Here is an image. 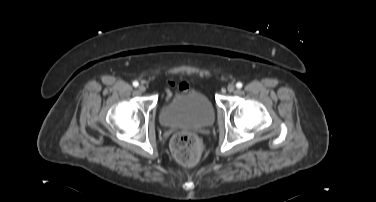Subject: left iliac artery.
<instances>
[{
    "mask_svg": "<svg viewBox=\"0 0 376 202\" xmlns=\"http://www.w3.org/2000/svg\"><path fill=\"white\" fill-rule=\"evenodd\" d=\"M242 83L241 82H237V84H236V87L238 88V89H240V88H242Z\"/></svg>",
    "mask_w": 376,
    "mask_h": 202,
    "instance_id": "44dca946",
    "label": "left iliac artery"
}]
</instances>
